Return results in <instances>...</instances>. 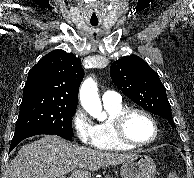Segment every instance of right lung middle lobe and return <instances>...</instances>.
<instances>
[{"instance_id": "right-lung-middle-lobe-1", "label": "right lung middle lobe", "mask_w": 194, "mask_h": 178, "mask_svg": "<svg viewBox=\"0 0 194 178\" xmlns=\"http://www.w3.org/2000/svg\"><path fill=\"white\" fill-rule=\"evenodd\" d=\"M77 105L51 98L22 100L15 132L43 129L59 136L73 137L72 117Z\"/></svg>"}]
</instances>
